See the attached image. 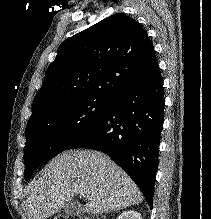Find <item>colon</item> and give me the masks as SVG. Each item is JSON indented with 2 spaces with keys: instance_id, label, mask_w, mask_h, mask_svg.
<instances>
[{
  "instance_id": "colon-1",
  "label": "colon",
  "mask_w": 211,
  "mask_h": 219,
  "mask_svg": "<svg viewBox=\"0 0 211 219\" xmlns=\"http://www.w3.org/2000/svg\"><path fill=\"white\" fill-rule=\"evenodd\" d=\"M54 219H105V217L98 216V215H90V216H85L82 218H75L70 215H62V216L55 217Z\"/></svg>"
}]
</instances>
